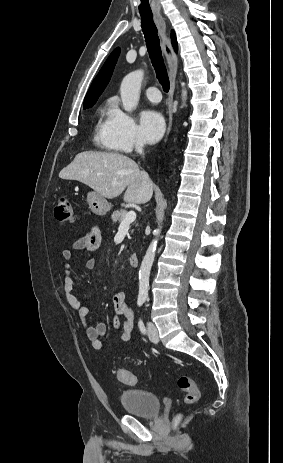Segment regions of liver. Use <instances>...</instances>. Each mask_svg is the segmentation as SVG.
<instances>
[{
    "mask_svg": "<svg viewBox=\"0 0 283 463\" xmlns=\"http://www.w3.org/2000/svg\"><path fill=\"white\" fill-rule=\"evenodd\" d=\"M59 177L80 181L108 199L125 191L126 203L144 204L153 195L149 175L134 160L119 153L81 152L60 171Z\"/></svg>",
    "mask_w": 283,
    "mask_h": 463,
    "instance_id": "6515ba94",
    "label": "liver"
}]
</instances>
